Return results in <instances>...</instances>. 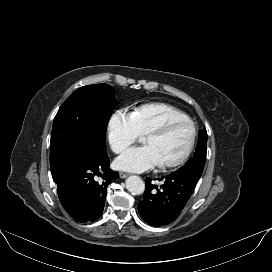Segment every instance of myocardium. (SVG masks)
<instances>
[{"label":"myocardium","instance_id":"myocardium-1","mask_svg":"<svg viewBox=\"0 0 272 272\" xmlns=\"http://www.w3.org/2000/svg\"><path fill=\"white\" fill-rule=\"evenodd\" d=\"M182 125H187L191 129V139H190L189 145L186 151L178 159L172 162L161 163L160 165L163 168H176L183 165L188 160V158L190 157V155L192 154L194 150L196 139H197V127L195 123L191 119H174V120L167 121L163 123L162 125L151 129L145 134V137L163 136L168 134L172 129Z\"/></svg>","mask_w":272,"mask_h":272}]
</instances>
